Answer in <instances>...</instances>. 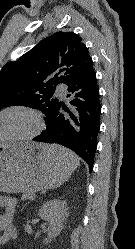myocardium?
I'll use <instances>...</instances> for the list:
<instances>
[{
    "instance_id": "obj_1",
    "label": "myocardium",
    "mask_w": 135,
    "mask_h": 249,
    "mask_svg": "<svg viewBox=\"0 0 135 249\" xmlns=\"http://www.w3.org/2000/svg\"><path fill=\"white\" fill-rule=\"evenodd\" d=\"M11 112H20L28 115L32 120L33 128L26 134L0 138V143L30 141L41 133L43 129V120L41 114L36 109L20 104L9 105L0 109V116Z\"/></svg>"
}]
</instances>
